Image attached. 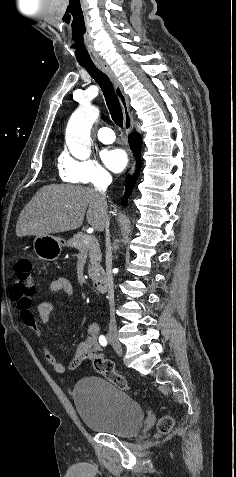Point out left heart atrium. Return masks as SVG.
Returning a JSON list of instances; mask_svg holds the SVG:
<instances>
[{
  "mask_svg": "<svg viewBox=\"0 0 236 477\" xmlns=\"http://www.w3.org/2000/svg\"><path fill=\"white\" fill-rule=\"evenodd\" d=\"M102 159L113 172L122 171L128 162L127 153L121 148H110L103 151Z\"/></svg>",
  "mask_w": 236,
  "mask_h": 477,
  "instance_id": "39dd6f15",
  "label": "left heart atrium"
}]
</instances>
